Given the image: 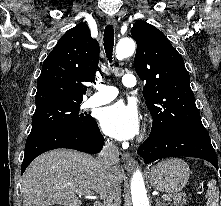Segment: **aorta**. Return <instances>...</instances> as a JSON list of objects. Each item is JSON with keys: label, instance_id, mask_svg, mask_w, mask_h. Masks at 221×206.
<instances>
[{"label": "aorta", "instance_id": "obj_1", "mask_svg": "<svg viewBox=\"0 0 221 206\" xmlns=\"http://www.w3.org/2000/svg\"><path fill=\"white\" fill-rule=\"evenodd\" d=\"M135 42L131 38H122L116 46V58L124 59L133 55ZM131 194L133 206H149L147 191L145 188L142 173L136 170L131 179Z\"/></svg>", "mask_w": 221, "mask_h": 206}]
</instances>
